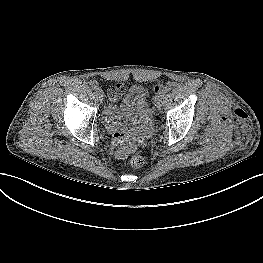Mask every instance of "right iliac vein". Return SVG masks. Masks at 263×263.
Wrapping results in <instances>:
<instances>
[{"mask_svg": "<svg viewBox=\"0 0 263 263\" xmlns=\"http://www.w3.org/2000/svg\"><path fill=\"white\" fill-rule=\"evenodd\" d=\"M97 95H98L99 99L102 100V98H103V91L100 89L99 91H97Z\"/></svg>", "mask_w": 263, "mask_h": 263, "instance_id": "1", "label": "right iliac vein"}]
</instances>
